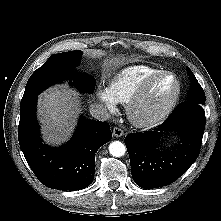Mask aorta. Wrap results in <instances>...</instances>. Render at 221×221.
I'll return each mask as SVG.
<instances>
[{
	"mask_svg": "<svg viewBox=\"0 0 221 221\" xmlns=\"http://www.w3.org/2000/svg\"><path fill=\"white\" fill-rule=\"evenodd\" d=\"M126 147L120 141H113L109 145V152L114 157H121L125 154Z\"/></svg>",
	"mask_w": 221,
	"mask_h": 221,
	"instance_id": "obj_1",
	"label": "aorta"
}]
</instances>
